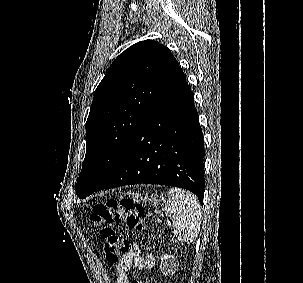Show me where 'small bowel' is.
Returning a JSON list of instances; mask_svg holds the SVG:
<instances>
[{"mask_svg":"<svg viewBox=\"0 0 303 283\" xmlns=\"http://www.w3.org/2000/svg\"><path fill=\"white\" fill-rule=\"evenodd\" d=\"M151 259L147 257V259H143L140 256V250L137 245H133L131 251L125 254L118 262L117 265V279L116 283H130L128 271L133 265V263L139 267L144 268L150 265Z\"/></svg>","mask_w":303,"mask_h":283,"instance_id":"obj_1","label":"small bowel"}]
</instances>
